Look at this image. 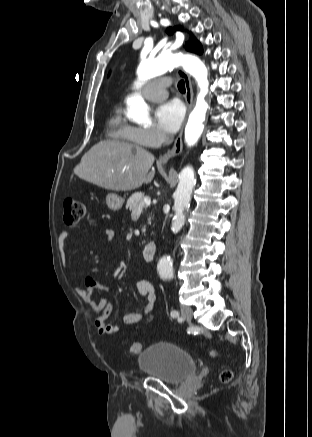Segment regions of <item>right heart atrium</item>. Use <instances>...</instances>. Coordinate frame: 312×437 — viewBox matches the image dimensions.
I'll return each mask as SVG.
<instances>
[{"instance_id": "obj_1", "label": "right heart atrium", "mask_w": 312, "mask_h": 437, "mask_svg": "<svg viewBox=\"0 0 312 437\" xmlns=\"http://www.w3.org/2000/svg\"><path fill=\"white\" fill-rule=\"evenodd\" d=\"M133 138L141 145L155 147L163 143L166 138L156 128H134L131 129Z\"/></svg>"}]
</instances>
